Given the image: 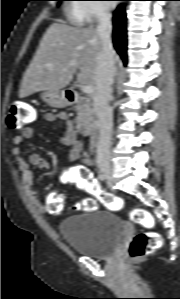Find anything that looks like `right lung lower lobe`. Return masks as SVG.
I'll use <instances>...</instances> for the list:
<instances>
[{
    "mask_svg": "<svg viewBox=\"0 0 180 299\" xmlns=\"http://www.w3.org/2000/svg\"><path fill=\"white\" fill-rule=\"evenodd\" d=\"M128 1V0H122ZM113 44L123 60V63L127 64V54H126V16L124 12V7L119 6L113 16Z\"/></svg>",
    "mask_w": 180,
    "mask_h": 299,
    "instance_id": "1",
    "label": "right lung lower lobe"
}]
</instances>
